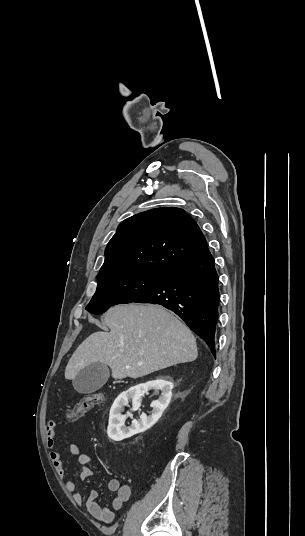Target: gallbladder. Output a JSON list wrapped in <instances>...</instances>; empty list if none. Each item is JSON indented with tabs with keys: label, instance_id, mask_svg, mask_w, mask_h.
I'll return each instance as SVG.
<instances>
[{
	"label": "gallbladder",
	"instance_id": "bac80fb5",
	"mask_svg": "<svg viewBox=\"0 0 305 536\" xmlns=\"http://www.w3.org/2000/svg\"><path fill=\"white\" fill-rule=\"evenodd\" d=\"M109 376L110 372L107 364L94 362V364H90V366L80 370L72 380V384L79 394H92V392H96L106 384Z\"/></svg>",
	"mask_w": 305,
	"mask_h": 536
}]
</instances>
